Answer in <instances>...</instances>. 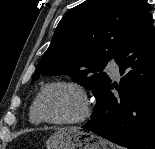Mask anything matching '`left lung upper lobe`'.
<instances>
[{"mask_svg": "<svg viewBox=\"0 0 155 149\" xmlns=\"http://www.w3.org/2000/svg\"><path fill=\"white\" fill-rule=\"evenodd\" d=\"M150 13L147 0H86L60 20L32 82L68 75L94 95L111 80L102 72Z\"/></svg>", "mask_w": 155, "mask_h": 149, "instance_id": "5c2ea615", "label": "left lung upper lobe"}]
</instances>
